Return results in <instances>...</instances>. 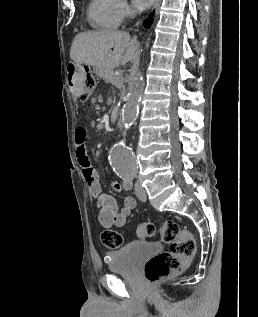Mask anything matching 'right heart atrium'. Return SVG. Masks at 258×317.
<instances>
[{
  "mask_svg": "<svg viewBox=\"0 0 258 317\" xmlns=\"http://www.w3.org/2000/svg\"><path fill=\"white\" fill-rule=\"evenodd\" d=\"M131 14V7L127 1L121 0L119 3V15L121 21L127 19Z\"/></svg>",
  "mask_w": 258,
  "mask_h": 317,
  "instance_id": "right-heart-atrium-1",
  "label": "right heart atrium"
}]
</instances>
